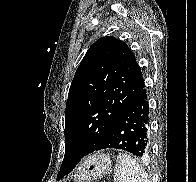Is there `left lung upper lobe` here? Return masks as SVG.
<instances>
[{
  "mask_svg": "<svg viewBox=\"0 0 196 182\" xmlns=\"http://www.w3.org/2000/svg\"><path fill=\"white\" fill-rule=\"evenodd\" d=\"M143 87L141 69L125 43L105 36L91 45L69 89L65 155L75 146L81 147L83 156L92 153ZM77 164L63 160L57 179L70 173Z\"/></svg>",
  "mask_w": 196,
  "mask_h": 182,
  "instance_id": "left-lung-upper-lobe-1",
  "label": "left lung upper lobe"
}]
</instances>
